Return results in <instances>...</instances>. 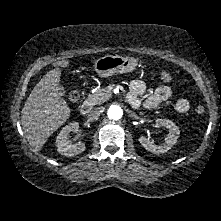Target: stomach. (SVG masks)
Segmentation results:
<instances>
[{
	"label": "stomach",
	"mask_w": 221,
	"mask_h": 221,
	"mask_svg": "<svg viewBox=\"0 0 221 221\" xmlns=\"http://www.w3.org/2000/svg\"><path fill=\"white\" fill-rule=\"evenodd\" d=\"M137 64L138 59L134 57L107 55L95 61L94 70L101 77H109L118 73L131 72L135 69Z\"/></svg>",
	"instance_id": "1"
}]
</instances>
